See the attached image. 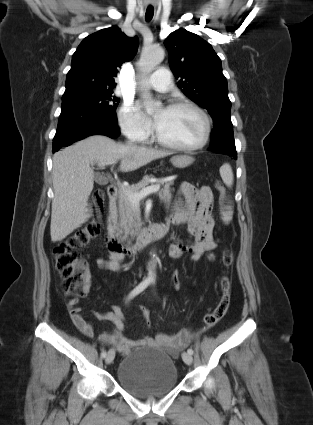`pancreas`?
Masks as SVG:
<instances>
[{
  "label": "pancreas",
  "mask_w": 313,
  "mask_h": 425,
  "mask_svg": "<svg viewBox=\"0 0 313 425\" xmlns=\"http://www.w3.org/2000/svg\"><path fill=\"white\" fill-rule=\"evenodd\" d=\"M153 176H145L143 179L135 185L124 187L119 191L118 194V212L119 221L117 223V231L120 235H123V239H127L129 236L134 238L139 236L142 230V223L140 218V209L135 207L129 200L126 191L130 193H138L141 190L149 187L150 181ZM172 181L160 180L155 185H163V188L157 193L160 200L169 203L171 201V188ZM154 184L152 183L151 186ZM130 243V242H129Z\"/></svg>",
  "instance_id": "pancreas-1"
}]
</instances>
